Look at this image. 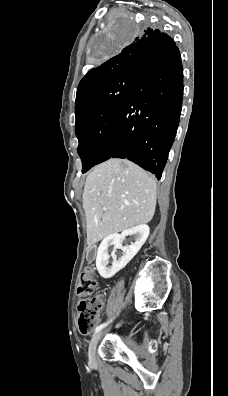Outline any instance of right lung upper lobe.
Segmentation results:
<instances>
[{"mask_svg": "<svg viewBox=\"0 0 228 396\" xmlns=\"http://www.w3.org/2000/svg\"><path fill=\"white\" fill-rule=\"evenodd\" d=\"M171 39L158 29H145L131 44L102 65L91 69L80 81L76 95L75 113H78L85 99L106 82L124 74L137 72L141 62L155 48Z\"/></svg>", "mask_w": 228, "mask_h": 396, "instance_id": "cb5924a9", "label": "right lung upper lobe"}]
</instances>
